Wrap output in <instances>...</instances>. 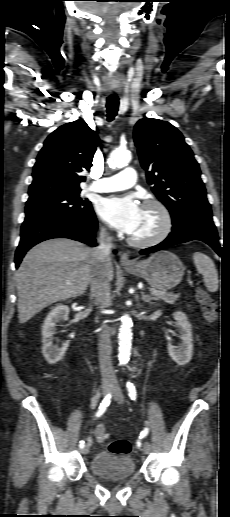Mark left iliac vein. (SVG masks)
<instances>
[{"instance_id": "4c4485c4", "label": "left iliac vein", "mask_w": 230, "mask_h": 517, "mask_svg": "<svg viewBox=\"0 0 230 517\" xmlns=\"http://www.w3.org/2000/svg\"><path fill=\"white\" fill-rule=\"evenodd\" d=\"M113 398L116 402L122 404L124 402V396H123V393H122V390L121 388L116 385L114 388H113ZM151 450V446L149 444V442H144L143 444V447H142V451L144 454H148Z\"/></svg>"}]
</instances>
